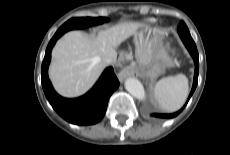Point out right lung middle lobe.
I'll list each match as a JSON object with an SVG mask.
<instances>
[{
    "mask_svg": "<svg viewBox=\"0 0 230 155\" xmlns=\"http://www.w3.org/2000/svg\"><path fill=\"white\" fill-rule=\"evenodd\" d=\"M108 19L105 17H98V18H92V17H81V18H72L68 20L66 23H64L56 33H59L63 35L65 32L72 30V29H81V28H87L93 25H98L104 22H107Z\"/></svg>",
    "mask_w": 230,
    "mask_h": 155,
    "instance_id": "right-lung-middle-lobe-1",
    "label": "right lung middle lobe"
}]
</instances>
